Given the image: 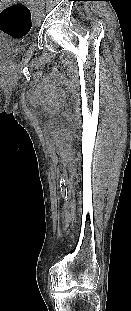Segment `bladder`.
Instances as JSON below:
<instances>
[{
  "label": "bladder",
  "mask_w": 131,
  "mask_h": 311,
  "mask_svg": "<svg viewBox=\"0 0 131 311\" xmlns=\"http://www.w3.org/2000/svg\"><path fill=\"white\" fill-rule=\"evenodd\" d=\"M23 45L3 42L0 40V52L8 56H15L23 50Z\"/></svg>",
  "instance_id": "bladder-1"
}]
</instances>
